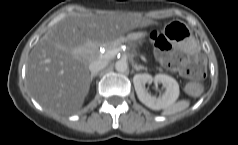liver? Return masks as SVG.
Segmentation results:
<instances>
[{
  "label": "liver",
  "instance_id": "obj_1",
  "mask_svg": "<svg viewBox=\"0 0 238 145\" xmlns=\"http://www.w3.org/2000/svg\"><path fill=\"white\" fill-rule=\"evenodd\" d=\"M151 24L150 19L124 12L75 13L61 19L30 52L26 77L32 95L50 112L75 113L90 88L87 44L112 42L135 28Z\"/></svg>",
  "mask_w": 238,
  "mask_h": 145
}]
</instances>
